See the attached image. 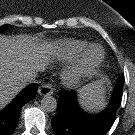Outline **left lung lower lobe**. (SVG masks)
Listing matches in <instances>:
<instances>
[{
	"mask_svg": "<svg viewBox=\"0 0 135 135\" xmlns=\"http://www.w3.org/2000/svg\"><path fill=\"white\" fill-rule=\"evenodd\" d=\"M124 77L119 78L108 108L98 115L83 112L74 92L60 91L57 115L51 120L56 135H105L112 127L122 100Z\"/></svg>",
	"mask_w": 135,
	"mask_h": 135,
	"instance_id": "obj_1",
	"label": "left lung lower lobe"
}]
</instances>
